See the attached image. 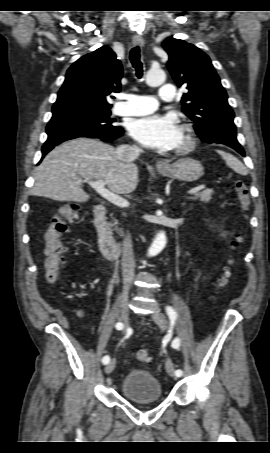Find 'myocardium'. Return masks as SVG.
Instances as JSON below:
<instances>
[{
  "instance_id": "1",
  "label": "myocardium",
  "mask_w": 270,
  "mask_h": 453,
  "mask_svg": "<svg viewBox=\"0 0 270 453\" xmlns=\"http://www.w3.org/2000/svg\"><path fill=\"white\" fill-rule=\"evenodd\" d=\"M184 132L182 141L178 146L176 152L178 154H185L191 151L195 147V139L188 126H185L182 130Z\"/></svg>"
}]
</instances>
